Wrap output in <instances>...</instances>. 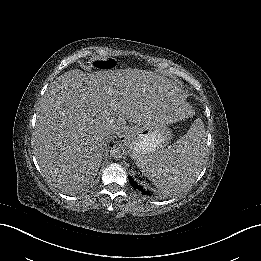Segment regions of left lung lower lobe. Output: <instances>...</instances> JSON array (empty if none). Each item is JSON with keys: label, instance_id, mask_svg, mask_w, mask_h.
I'll use <instances>...</instances> for the list:
<instances>
[{"label": "left lung lower lobe", "instance_id": "1", "mask_svg": "<svg viewBox=\"0 0 261 261\" xmlns=\"http://www.w3.org/2000/svg\"><path fill=\"white\" fill-rule=\"evenodd\" d=\"M129 181L133 188H137V189L141 190L143 192V194L151 195L148 191H145V190H143L142 187L138 186V184L131 178L129 179Z\"/></svg>", "mask_w": 261, "mask_h": 261}]
</instances>
